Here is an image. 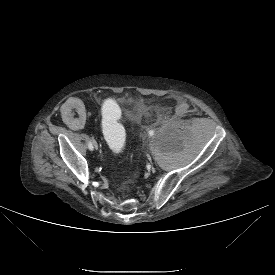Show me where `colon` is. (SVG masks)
I'll list each match as a JSON object with an SVG mask.
<instances>
[{"mask_svg": "<svg viewBox=\"0 0 275 275\" xmlns=\"http://www.w3.org/2000/svg\"><path fill=\"white\" fill-rule=\"evenodd\" d=\"M105 112L103 128L107 144L112 151H119L124 145V132L118 121L117 108L114 105L107 104Z\"/></svg>", "mask_w": 275, "mask_h": 275, "instance_id": "colon-1", "label": "colon"}]
</instances>
